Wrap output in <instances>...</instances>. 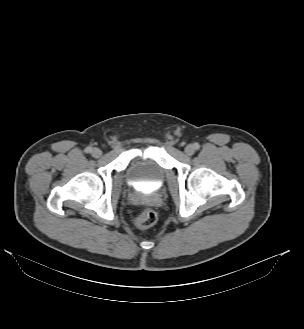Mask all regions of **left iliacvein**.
<instances>
[{"mask_svg": "<svg viewBox=\"0 0 304 329\" xmlns=\"http://www.w3.org/2000/svg\"><path fill=\"white\" fill-rule=\"evenodd\" d=\"M195 152V148L193 145H187L186 148H185V153L188 155V156H191L193 155Z\"/></svg>", "mask_w": 304, "mask_h": 329, "instance_id": "obj_1", "label": "left iliac vein"}]
</instances>
